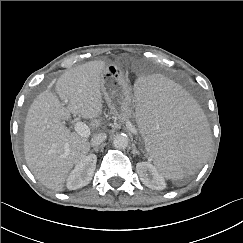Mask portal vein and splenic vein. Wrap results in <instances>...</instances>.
Here are the masks:
<instances>
[{
    "mask_svg": "<svg viewBox=\"0 0 243 243\" xmlns=\"http://www.w3.org/2000/svg\"><path fill=\"white\" fill-rule=\"evenodd\" d=\"M75 131L83 137H88L90 135L89 127L81 121L76 122ZM65 148H66V150H68V144L65 145Z\"/></svg>",
    "mask_w": 243,
    "mask_h": 243,
    "instance_id": "18ae733b",
    "label": "portal vein and splenic vein"
}]
</instances>
